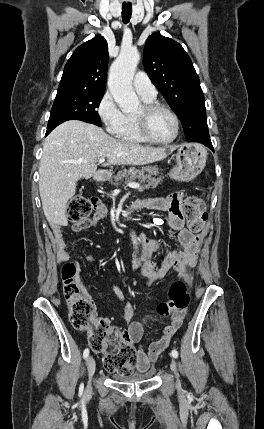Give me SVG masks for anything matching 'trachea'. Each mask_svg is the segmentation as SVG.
<instances>
[{"mask_svg":"<svg viewBox=\"0 0 264 429\" xmlns=\"http://www.w3.org/2000/svg\"><path fill=\"white\" fill-rule=\"evenodd\" d=\"M132 15V5L131 4H123L122 5V20L125 24H127Z\"/></svg>","mask_w":264,"mask_h":429,"instance_id":"obj_1","label":"trachea"}]
</instances>
